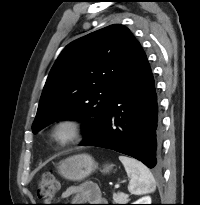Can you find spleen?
Segmentation results:
<instances>
[{"mask_svg":"<svg viewBox=\"0 0 200 205\" xmlns=\"http://www.w3.org/2000/svg\"><path fill=\"white\" fill-rule=\"evenodd\" d=\"M119 160L125 167L130 182L128 190L131 194L141 195L154 192L156 188L155 179L147 166L142 162L127 156H119Z\"/></svg>","mask_w":200,"mask_h":205,"instance_id":"1","label":"spleen"}]
</instances>
